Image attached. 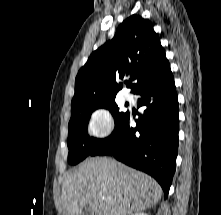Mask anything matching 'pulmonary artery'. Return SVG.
<instances>
[{"label":"pulmonary artery","mask_w":221,"mask_h":215,"mask_svg":"<svg viewBox=\"0 0 221 215\" xmlns=\"http://www.w3.org/2000/svg\"><path fill=\"white\" fill-rule=\"evenodd\" d=\"M124 98L128 102H132L133 101V95L130 92H125L124 93Z\"/></svg>","instance_id":"e3ab8cb5"}]
</instances>
